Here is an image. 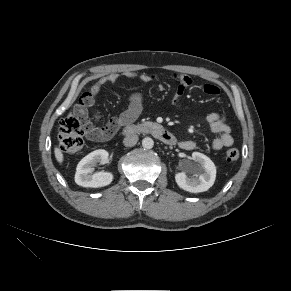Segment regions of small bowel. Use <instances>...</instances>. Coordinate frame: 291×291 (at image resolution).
Here are the masks:
<instances>
[{
	"label": "small bowel",
	"mask_w": 291,
	"mask_h": 291,
	"mask_svg": "<svg viewBox=\"0 0 291 291\" xmlns=\"http://www.w3.org/2000/svg\"><path fill=\"white\" fill-rule=\"evenodd\" d=\"M121 77H125L131 80L139 79L143 82H152L156 79L154 74H141L138 75L135 72H125L123 74L111 73L98 79L90 88V93L95 99L96 95L100 92L102 87L108 83H115ZM174 78L178 81V88L175 93L173 102L176 105H181L187 89L192 85V79L189 76L183 74H175ZM206 94L216 96L219 94V88L215 84L207 83L202 87ZM143 108V96L139 92H134L129 98V104L127 109L119 116L113 118L118 125H126L135 121L142 112ZM206 120L210 129L217 134V137L212 141V148L214 150H221L225 147H229L233 144L234 140L231 135V130L224 117L218 113H211L207 115ZM88 136L95 141H103L110 138V134L107 125L105 126H91ZM180 148L184 150H193L196 147V143L192 140H183L179 143Z\"/></svg>",
	"instance_id": "c3829d8e"
}]
</instances>
